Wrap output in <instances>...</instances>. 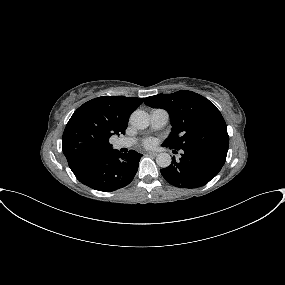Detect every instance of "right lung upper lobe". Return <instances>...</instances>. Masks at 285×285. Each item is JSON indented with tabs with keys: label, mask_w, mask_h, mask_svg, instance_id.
<instances>
[{
	"label": "right lung upper lobe",
	"mask_w": 285,
	"mask_h": 285,
	"mask_svg": "<svg viewBox=\"0 0 285 285\" xmlns=\"http://www.w3.org/2000/svg\"><path fill=\"white\" fill-rule=\"evenodd\" d=\"M143 98L102 96L81 105L68 121L62 137L69 167L100 153L113 150L109 138L125 134L130 115Z\"/></svg>",
	"instance_id": "1"
}]
</instances>
